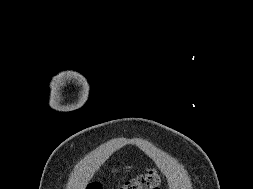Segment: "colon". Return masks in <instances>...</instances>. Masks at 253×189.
<instances>
[{
  "instance_id": "1",
  "label": "colon",
  "mask_w": 253,
  "mask_h": 189,
  "mask_svg": "<svg viewBox=\"0 0 253 189\" xmlns=\"http://www.w3.org/2000/svg\"><path fill=\"white\" fill-rule=\"evenodd\" d=\"M161 178L155 171L142 174L132 180L127 181L119 189H160ZM87 189H101L100 183L91 182Z\"/></svg>"
}]
</instances>
